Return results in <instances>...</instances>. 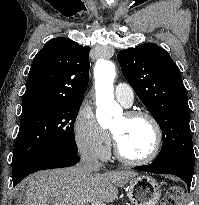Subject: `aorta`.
I'll return each instance as SVG.
<instances>
[{"label":"aorta","mask_w":199,"mask_h":205,"mask_svg":"<svg viewBox=\"0 0 199 205\" xmlns=\"http://www.w3.org/2000/svg\"><path fill=\"white\" fill-rule=\"evenodd\" d=\"M96 117L101 126L108 125L112 116L122 113V108L114 100L113 81L116 76L115 65L109 60H100L94 70Z\"/></svg>","instance_id":"1"}]
</instances>
